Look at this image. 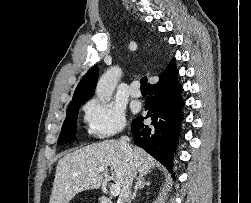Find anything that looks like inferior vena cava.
Returning a JSON list of instances; mask_svg holds the SVG:
<instances>
[{
  "label": "inferior vena cava",
  "instance_id": "obj_1",
  "mask_svg": "<svg viewBox=\"0 0 251 203\" xmlns=\"http://www.w3.org/2000/svg\"><path fill=\"white\" fill-rule=\"evenodd\" d=\"M129 138L128 137H121L119 140V144L121 149L126 153L128 158L132 156V149L129 146ZM134 170H130L125 178L121 193L119 195V203H131V186L133 183V179L135 177Z\"/></svg>",
  "mask_w": 251,
  "mask_h": 203
}]
</instances>
